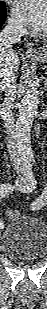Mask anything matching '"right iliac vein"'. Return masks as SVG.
Masks as SVG:
<instances>
[{
	"instance_id": "1",
	"label": "right iliac vein",
	"mask_w": 47,
	"mask_h": 309,
	"mask_svg": "<svg viewBox=\"0 0 47 309\" xmlns=\"http://www.w3.org/2000/svg\"><path fill=\"white\" fill-rule=\"evenodd\" d=\"M19 182H21V181L17 180V182H16V183H19Z\"/></svg>"
}]
</instances>
